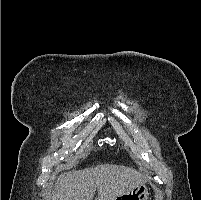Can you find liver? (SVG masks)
I'll return each mask as SVG.
<instances>
[{"mask_svg":"<svg viewBox=\"0 0 201 200\" xmlns=\"http://www.w3.org/2000/svg\"><path fill=\"white\" fill-rule=\"evenodd\" d=\"M145 183L146 178L131 167L101 164L61 174L50 200H93L96 190L98 200H114Z\"/></svg>","mask_w":201,"mask_h":200,"instance_id":"6515ba94","label":"liver"}]
</instances>
